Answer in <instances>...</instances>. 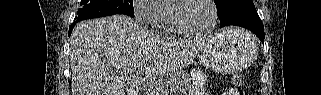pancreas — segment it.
Segmentation results:
<instances>
[{"instance_id":"cf45deb5","label":"pancreas","mask_w":321,"mask_h":95,"mask_svg":"<svg viewBox=\"0 0 321 95\" xmlns=\"http://www.w3.org/2000/svg\"><path fill=\"white\" fill-rule=\"evenodd\" d=\"M164 84L161 85V88H149L147 91V95H164L168 93L170 89H181V90H189L192 88L190 84V78L187 72L177 71L171 72L169 74L168 80L163 81Z\"/></svg>"}]
</instances>
